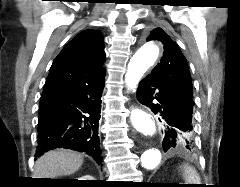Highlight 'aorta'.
Listing matches in <instances>:
<instances>
[{"label":"aorta","mask_w":240,"mask_h":187,"mask_svg":"<svg viewBox=\"0 0 240 187\" xmlns=\"http://www.w3.org/2000/svg\"><path fill=\"white\" fill-rule=\"evenodd\" d=\"M159 55V47L154 43L143 45L131 58L125 82L128 89L135 90L144 73L155 63ZM133 127L144 136H153L156 131L151 115L142 110H133L131 113ZM162 159L160 149L147 148L141 154L142 167L148 170L156 168Z\"/></svg>","instance_id":"aorta-1"}]
</instances>
